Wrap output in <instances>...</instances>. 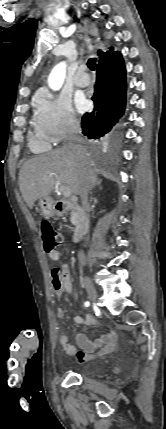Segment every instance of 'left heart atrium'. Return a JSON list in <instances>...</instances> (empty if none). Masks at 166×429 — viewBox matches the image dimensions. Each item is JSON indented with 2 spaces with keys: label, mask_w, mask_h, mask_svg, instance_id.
Listing matches in <instances>:
<instances>
[{
  "label": "left heart atrium",
  "mask_w": 166,
  "mask_h": 429,
  "mask_svg": "<svg viewBox=\"0 0 166 429\" xmlns=\"http://www.w3.org/2000/svg\"><path fill=\"white\" fill-rule=\"evenodd\" d=\"M75 104L79 112H83L87 108V101L83 95H78L76 97Z\"/></svg>",
  "instance_id": "left-heart-atrium-1"
}]
</instances>
